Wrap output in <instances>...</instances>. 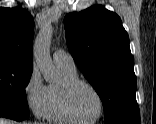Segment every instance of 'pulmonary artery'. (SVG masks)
<instances>
[{"label":"pulmonary artery","instance_id":"obj_1","mask_svg":"<svg viewBox=\"0 0 156 124\" xmlns=\"http://www.w3.org/2000/svg\"><path fill=\"white\" fill-rule=\"evenodd\" d=\"M53 60L57 66H63L70 69L76 68L74 59L71 54L62 49H58L54 52Z\"/></svg>","mask_w":156,"mask_h":124}]
</instances>
